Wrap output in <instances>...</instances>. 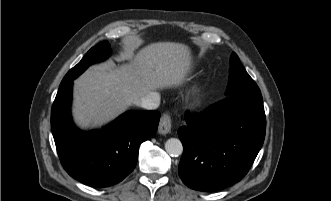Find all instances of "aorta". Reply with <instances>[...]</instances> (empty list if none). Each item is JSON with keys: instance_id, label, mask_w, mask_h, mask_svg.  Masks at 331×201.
I'll return each mask as SVG.
<instances>
[{"instance_id": "762f6f07", "label": "aorta", "mask_w": 331, "mask_h": 201, "mask_svg": "<svg viewBox=\"0 0 331 201\" xmlns=\"http://www.w3.org/2000/svg\"><path fill=\"white\" fill-rule=\"evenodd\" d=\"M165 150L171 156H179L183 152V145L177 138H170L165 143Z\"/></svg>"}]
</instances>
